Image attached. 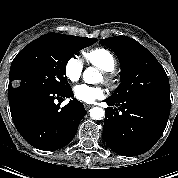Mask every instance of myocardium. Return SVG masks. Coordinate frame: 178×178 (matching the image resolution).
Instances as JSON below:
<instances>
[{
    "label": "myocardium",
    "instance_id": "f54148a6",
    "mask_svg": "<svg viewBox=\"0 0 178 178\" xmlns=\"http://www.w3.org/2000/svg\"><path fill=\"white\" fill-rule=\"evenodd\" d=\"M104 74V80L108 83L111 84L113 82V76L111 72L109 71H103Z\"/></svg>",
    "mask_w": 178,
    "mask_h": 178
}]
</instances>
